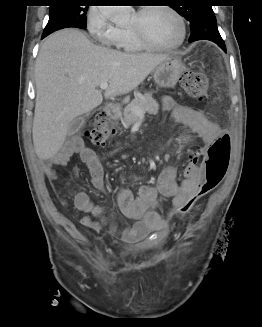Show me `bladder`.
<instances>
[{
    "instance_id": "bladder-1",
    "label": "bladder",
    "mask_w": 262,
    "mask_h": 327,
    "mask_svg": "<svg viewBox=\"0 0 262 327\" xmlns=\"http://www.w3.org/2000/svg\"><path fill=\"white\" fill-rule=\"evenodd\" d=\"M139 248H144L145 249V248H148V246L144 244V245H140Z\"/></svg>"
}]
</instances>
